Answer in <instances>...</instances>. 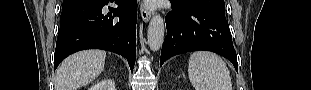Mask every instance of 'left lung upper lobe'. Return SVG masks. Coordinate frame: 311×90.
<instances>
[{"instance_id": "1", "label": "left lung upper lobe", "mask_w": 311, "mask_h": 90, "mask_svg": "<svg viewBox=\"0 0 311 90\" xmlns=\"http://www.w3.org/2000/svg\"><path fill=\"white\" fill-rule=\"evenodd\" d=\"M182 9H197L208 11L225 18L224 0H170Z\"/></svg>"}]
</instances>
